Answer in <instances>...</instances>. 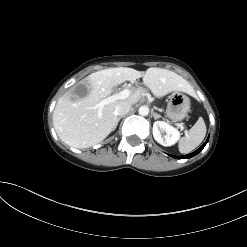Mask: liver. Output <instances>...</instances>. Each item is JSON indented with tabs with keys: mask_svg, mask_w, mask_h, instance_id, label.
I'll return each instance as SVG.
<instances>
[{
	"mask_svg": "<svg viewBox=\"0 0 247 247\" xmlns=\"http://www.w3.org/2000/svg\"><path fill=\"white\" fill-rule=\"evenodd\" d=\"M141 77L144 85L157 98L170 92H193L185 79L167 69L153 67L143 72L118 67L97 71L83 81L88 90L85 97L74 99L72 91H68L58 100L53 113V125L59 138L79 149L103 141L117 126L115 107L120 101L109 103L102 109L97 108L98 103L107 98L114 87ZM144 94L143 89H137L122 101L135 104Z\"/></svg>",
	"mask_w": 247,
	"mask_h": 247,
	"instance_id": "1",
	"label": "liver"
}]
</instances>
